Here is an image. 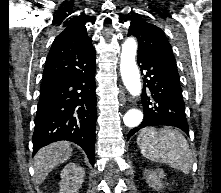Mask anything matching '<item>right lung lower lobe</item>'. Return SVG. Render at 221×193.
<instances>
[{"label": "right lung lower lobe", "mask_w": 221, "mask_h": 193, "mask_svg": "<svg viewBox=\"0 0 221 193\" xmlns=\"http://www.w3.org/2000/svg\"><path fill=\"white\" fill-rule=\"evenodd\" d=\"M96 62L75 74L42 83L35 128L33 154L59 140L78 144L94 165L96 130Z\"/></svg>", "instance_id": "right-lung-lower-lobe-1"}]
</instances>
